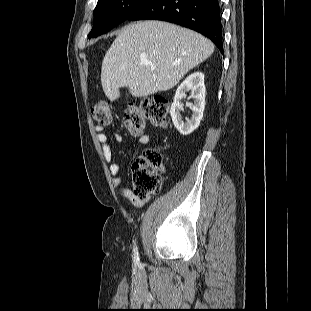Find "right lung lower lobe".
I'll list each match as a JSON object with an SVG mask.
<instances>
[{"label":"right lung lower lobe","mask_w":311,"mask_h":311,"mask_svg":"<svg viewBox=\"0 0 311 311\" xmlns=\"http://www.w3.org/2000/svg\"><path fill=\"white\" fill-rule=\"evenodd\" d=\"M162 20L193 29L223 53L221 10L218 0H154L128 20Z\"/></svg>","instance_id":"98d812e1"}]
</instances>
